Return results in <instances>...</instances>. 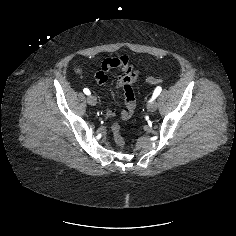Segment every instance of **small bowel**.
<instances>
[{
  "instance_id": "1",
  "label": "small bowel",
  "mask_w": 236,
  "mask_h": 236,
  "mask_svg": "<svg viewBox=\"0 0 236 236\" xmlns=\"http://www.w3.org/2000/svg\"><path fill=\"white\" fill-rule=\"evenodd\" d=\"M116 69L121 71V75L117 79V85L123 90L125 98V107L120 115L123 120H128L136 106L132 85L137 81L139 71L135 63L127 55L106 58L103 60L100 69L94 73V79L100 87H103L108 82V74ZM129 103H131V106ZM105 114L107 117H114L116 111L113 108H107Z\"/></svg>"
}]
</instances>
